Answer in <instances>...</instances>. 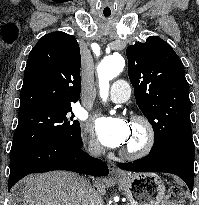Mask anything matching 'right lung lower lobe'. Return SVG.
<instances>
[{
    "label": "right lung lower lobe",
    "instance_id": "right-lung-lower-lobe-1",
    "mask_svg": "<svg viewBox=\"0 0 199 205\" xmlns=\"http://www.w3.org/2000/svg\"><path fill=\"white\" fill-rule=\"evenodd\" d=\"M78 144L64 141L40 144L10 155L8 189L24 176L52 170H67L92 176L108 175L107 165L83 152Z\"/></svg>",
    "mask_w": 199,
    "mask_h": 205
}]
</instances>
